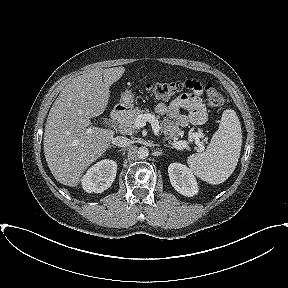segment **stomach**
<instances>
[{
	"instance_id": "0dacf381",
	"label": "stomach",
	"mask_w": 288,
	"mask_h": 288,
	"mask_svg": "<svg viewBox=\"0 0 288 288\" xmlns=\"http://www.w3.org/2000/svg\"><path fill=\"white\" fill-rule=\"evenodd\" d=\"M134 94L131 90H125L121 93V98L116 108L122 112H128L133 108L134 104Z\"/></svg>"
}]
</instances>
